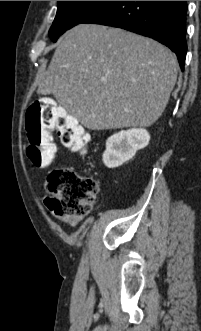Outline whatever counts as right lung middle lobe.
Returning <instances> with one entry per match:
<instances>
[{
  "label": "right lung middle lobe",
  "mask_w": 201,
  "mask_h": 331,
  "mask_svg": "<svg viewBox=\"0 0 201 331\" xmlns=\"http://www.w3.org/2000/svg\"><path fill=\"white\" fill-rule=\"evenodd\" d=\"M109 1H58L55 20L49 30L50 38H57L71 27L83 23Z\"/></svg>",
  "instance_id": "1"
}]
</instances>
